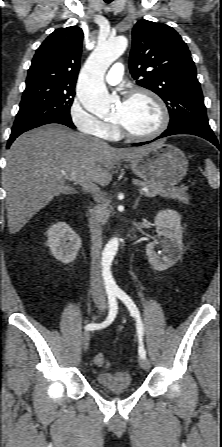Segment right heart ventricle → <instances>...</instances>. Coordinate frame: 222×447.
Masks as SVG:
<instances>
[{
    "instance_id": "obj_1",
    "label": "right heart ventricle",
    "mask_w": 222,
    "mask_h": 447,
    "mask_svg": "<svg viewBox=\"0 0 222 447\" xmlns=\"http://www.w3.org/2000/svg\"><path fill=\"white\" fill-rule=\"evenodd\" d=\"M118 135V131L115 129L114 126H112L103 137L108 139H116Z\"/></svg>"
}]
</instances>
